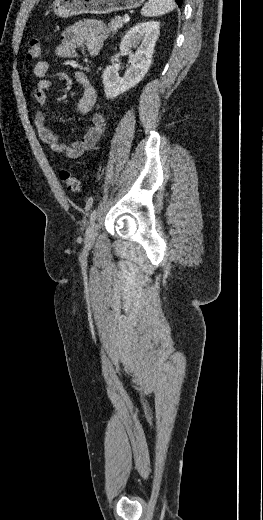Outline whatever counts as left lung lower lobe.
I'll return each mask as SVG.
<instances>
[{
	"mask_svg": "<svg viewBox=\"0 0 263 520\" xmlns=\"http://www.w3.org/2000/svg\"><path fill=\"white\" fill-rule=\"evenodd\" d=\"M175 1L177 2L178 6L181 7L183 0H175Z\"/></svg>",
	"mask_w": 263,
	"mask_h": 520,
	"instance_id": "obj_1",
	"label": "left lung lower lobe"
}]
</instances>
